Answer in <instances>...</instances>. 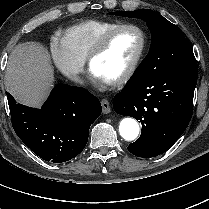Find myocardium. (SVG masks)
Returning <instances> with one entry per match:
<instances>
[{"mask_svg": "<svg viewBox=\"0 0 209 209\" xmlns=\"http://www.w3.org/2000/svg\"><path fill=\"white\" fill-rule=\"evenodd\" d=\"M125 29H133V30H136L140 34V38H141L140 47H139V50L136 53L133 61L131 62V65L124 72V74H122L121 76H119L118 78L113 79V80H105V83L108 85H112V86L123 85V84L129 82L136 74L138 67L144 57V54H145V51L147 48V43H148L147 34L144 31V29L136 24H133V23H120V24L110 28L109 30H107L98 39V41L95 43V45L93 46V48L91 49V51L89 52V54L86 58L89 68L92 69V64H93L94 60L100 54H102L103 51L107 48L108 44L111 41V38L117 32H119L121 30H125Z\"/></svg>", "mask_w": 209, "mask_h": 209, "instance_id": "obj_1", "label": "myocardium"}]
</instances>
